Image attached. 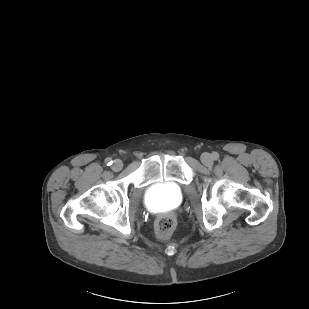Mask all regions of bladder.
<instances>
[{
  "label": "bladder",
  "instance_id": "obj_1",
  "mask_svg": "<svg viewBox=\"0 0 309 309\" xmlns=\"http://www.w3.org/2000/svg\"><path fill=\"white\" fill-rule=\"evenodd\" d=\"M183 200V191L174 182H162L151 185L144 195L148 208L159 210L162 208H175Z\"/></svg>",
  "mask_w": 309,
  "mask_h": 309
}]
</instances>
